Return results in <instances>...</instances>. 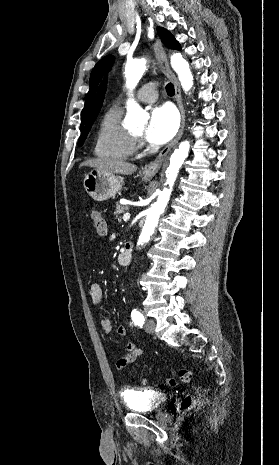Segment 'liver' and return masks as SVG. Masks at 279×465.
<instances>
[{
	"label": "liver",
	"mask_w": 279,
	"mask_h": 465,
	"mask_svg": "<svg viewBox=\"0 0 279 465\" xmlns=\"http://www.w3.org/2000/svg\"><path fill=\"white\" fill-rule=\"evenodd\" d=\"M93 167L97 171L129 175L137 170V166L115 158L89 159L80 164V167Z\"/></svg>",
	"instance_id": "liver-1"
}]
</instances>
